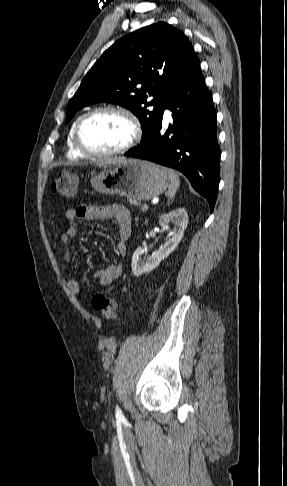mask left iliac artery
Listing matches in <instances>:
<instances>
[{
	"instance_id": "left-iliac-artery-1",
	"label": "left iliac artery",
	"mask_w": 287,
	"mask_h": 486,
	"mask_svg": "<svg viewBox=\"0 0 287 486\" xmlns=\"http://www.w3.org/2000/svg\"><path fill=\"white\" fill-rule=\"evenodd\" d=\"M122 412L119 407L116 408V417H122Z\"/></svg>"
}]
</instances>
